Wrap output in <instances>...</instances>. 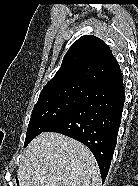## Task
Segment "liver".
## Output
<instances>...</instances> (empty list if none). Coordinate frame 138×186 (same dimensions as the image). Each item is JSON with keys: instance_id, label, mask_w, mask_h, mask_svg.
<instances>
[{"instance_id": "obj_1", "label": "liver", "mask_w": 138, "mask_h": 186, "mask_svg": "<svg viewBox=\"0 0 138 186\" xmlns=\"http://www.w3.org/2000/svg\"><path fill=\"white\" fill-rule=\"evenodd\" d=\"M19 186H101L91 151L60 133L44 132L24 151L17 171Z\"/></svg>"}]
</instances>
